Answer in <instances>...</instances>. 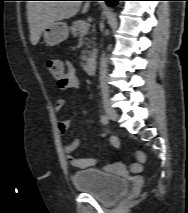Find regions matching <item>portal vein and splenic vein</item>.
<instances>
[{
	"instance_id": "portal-vein-and-splenic-vein-1",
	"label": "portal vein and splenic vein",
	"mask_w": 188,
	"mask_h": 213,
	"mask_svg": "<svg viewBox=\"0 0 188 213\" xmlns=\"http://www.w3.org/2000/svg\"><path fill=\"white\" fill-rule=\"evenodd\" d=\"M89 27H90L89 23L84 24L81 30L82 34L88 31Z\"/></svg>"
}]
</instances>
